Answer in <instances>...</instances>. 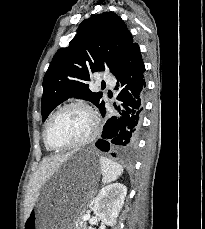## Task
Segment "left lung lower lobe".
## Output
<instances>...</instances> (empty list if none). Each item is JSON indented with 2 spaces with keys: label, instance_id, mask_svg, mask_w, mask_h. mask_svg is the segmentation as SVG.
Instances as JSON below:
<instances>
[{
  "label": "left lung lower lobe",
  "instance_id": "left-lung-lower-lobe-1",
  "mask_svg": "<svg viewBox=\"0 0 205 229\" xmlns=\"http://www.w3.org/2000/svg\"><path fill=\"white\" fill-rule=\"evenodd\" d=\"M144 72L140 48L137 43H133L113 73L117 79L116 87L121 89L117 99L122 104L117 107L119 113L109 118L103 127L102 138L95 144L100 150H112L122 157L131 156L135 152L144 110ZM100 112L104 116L105 108ZM115 153L112 155L115 156Z\"/></svg>",
  "mask_w": 205,
  "mask_h": 229
}]
</instances>
